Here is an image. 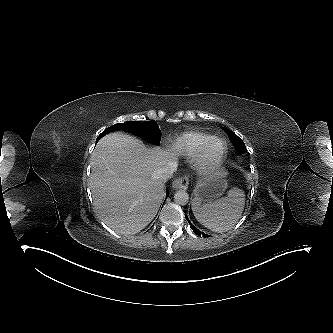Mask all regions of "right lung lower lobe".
<instances>
[{
	"label": "right lung lower lobe",
	"mask_w": 333,
	"mask_h": 333,
	"mask_svg": "<svg viewBox=\"0 0 333 333\" xmlns=\"http://www.w3.org/2000/svg\"><path fill=\"white\" fill-rule=\"evenodd\" d=\"M106 134H108V132L103 131V132L98 136V138H97V140H96V143L99 141L100 138H102V137L105 136ZM168 195H169V193H167L166 198L168 197Z\"/></svg>",
	"instance_id": "1"
}]
</instances>
